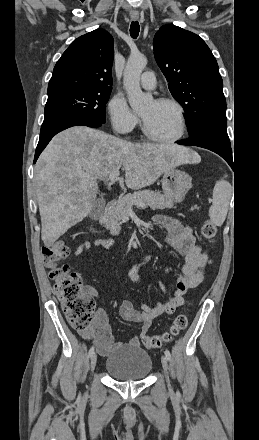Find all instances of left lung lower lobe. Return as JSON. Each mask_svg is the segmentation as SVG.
I'll use <instances>...</instances> for the list:
<instances>
[{
    "label": "left lung lower lobe",
    "mask_w": 259,
    "mask_h": 440,
    "mask_svg": "<svg viewBox=\"0 0 259 440\" xmlns=\"http://www.w3.org/2000/svg\"><path fill=\"white\" fill-rule=\"evenodd\" d=\"M177 143L209 149L224 158L232 167V150L227 134V122L218 120L204 122L189 133V138Z\"/></svg>",
    "instance_id": "0a47b994"
}]
</instances>
